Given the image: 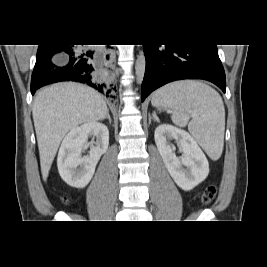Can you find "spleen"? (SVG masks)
Listing matches in <instances>:
<instances>
[{
	"mask_svg": "<svg viewBox=\"0 0 267 267\" xmlns=\"http://www.w3.org/2000/svg\"><path fill=\"white\" fill-rule=\"evenodd\" d=\"M152 105L171 108L172 122L180 127L188 125L189 132L207 155L212 160L220 158L224 146L225 109L215 89L201 81H176L157 90Z\"/></svg>",
	"mask_w": 267,
	"mask_h": 267,
	"instance_id": "spleen-1",
	"label": "spleen"
}]
</instances>
